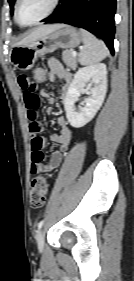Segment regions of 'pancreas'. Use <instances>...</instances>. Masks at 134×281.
Here are the masks:
<instances>
[{
	"mask_svg": "<svg viewBox=\"0 0 134 281\" xmlns=\"http://www.w3.org/2000/svg\"><path fill=\"white\" fill-rule=\"evenodd\" d=\"M71 52V50L63 51L62 60L68 67L75 70L77 68V58L72 56Z\"/></svg>",
	"mask_w": 134,
	"mask_h": 281,
	"instance_id": "pancreas-1",
	"label": "pancreas"
}]
</instances>
